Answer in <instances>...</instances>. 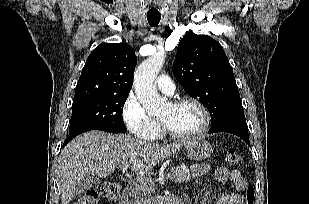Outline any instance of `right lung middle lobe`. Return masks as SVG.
Instances as JSON below:
<instances>
[{
    "label": "right lung middle lobe",
    "instance_id": "1",
    "mask_svg": "<svg viewBox=\"0 0 309 204\" xmlns=\"http://www.w3.org/2000/svg\"><path fill=\"white\" fill-rule=\"evenodd\" d=\"M127 97L128 94L106 95L73 103L69 135L84 130L126 132L122 111Z\"/></svg>",
    "mask_w": 309,
    "mask_h": 204
}]
</instances>
